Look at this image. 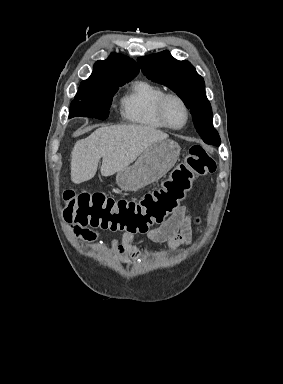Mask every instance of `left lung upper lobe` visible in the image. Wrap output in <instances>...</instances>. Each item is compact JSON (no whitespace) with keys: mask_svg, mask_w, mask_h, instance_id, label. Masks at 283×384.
Wrapping results in <instances>:
<instances>
[{"mask_svg":"<svg viewBox=\"0 0 283 384\" xmlns=\"http://www.w3.org/2000/svg\"><path fill=\"white\" fill-rule=\"evenodd\" d=\"M138 62L150 80L168 86L184 101L203 141L219 146L221 140L212 125V109L205 95V83L194 66L186 60H176L167 50L140 57Z\"/></svg>","mask_w":283,"mask_h":384,"instance_id":"obj_1","label":"left lung upper lobe"}]
</instances>
